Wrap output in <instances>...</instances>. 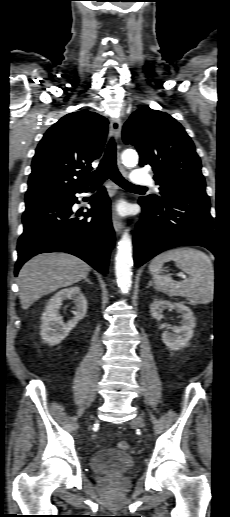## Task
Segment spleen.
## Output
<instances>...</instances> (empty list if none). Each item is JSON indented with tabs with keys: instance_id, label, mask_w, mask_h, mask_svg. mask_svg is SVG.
Here are the masks:
<instances>
[{
	"instance_id": "3e777b00",
	"label": "spleen",
	"mask_w": 230,
	"mask_h": 517,
	"mask_svg": "<svg viewBox=\"0 0 230 517\" xmlns=\"http://www.w3.org/2000/svg\"><path fill=\"white\" fill-rule=\"evenodd\" d=\"M174 261L189 275L187 280L175 282L170 276L158 275L164 262ZM149 269L156 288L173 297H185L192 304H206L214 298V267L210 258L200 250L176 248L156 256Z\"/></svg>"
}]
</instances>
